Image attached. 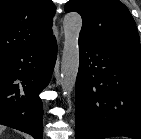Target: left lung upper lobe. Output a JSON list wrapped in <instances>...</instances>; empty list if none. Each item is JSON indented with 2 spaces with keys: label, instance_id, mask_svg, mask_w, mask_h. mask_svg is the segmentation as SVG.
I'll use <instances>...</instances> for the list:
<instances>
[{
  "label": "left lung upper lobe",
  "instance_id": "left-lung-upper-lobe-1",
  "mask_svg": "<svg viewBox=\"0 0 141 139\" xmlns=\"http://www.w3.org/2000/svg\"><path fill=\"white\" fill-rule=\"evenodd\" d=\"M65 11L82 16L80 37L141 54L139 34L127 7L119 0H69Z\"/></svg>",
  "mask_w": 141,
  "mask_h": 139
}]
</instances>
